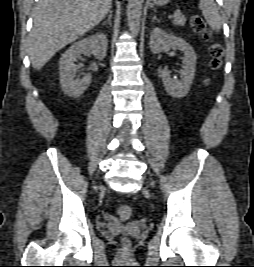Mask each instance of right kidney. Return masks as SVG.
<instances>
[{"instance_id": "ca27d5eb", "label": "right kidney", "mask_w": 254, "mask_h": 267, "mask_svg": "<svg viewBox=\"0 0 254 267\" xmlns=\"http://www.w3.org/2000/svg\"><path fill=\"white\" fill-rule=\"evenodd\" d=\"M108 40L104 33L99 32L74 43L62 54L59 62L60 84L65 94L70 97H80L91 83V74L75 80V61L81 54H92L102 60L106 56Z\"/></svg>"}]
</instances>
